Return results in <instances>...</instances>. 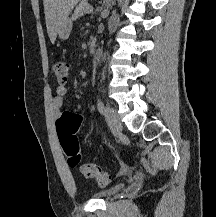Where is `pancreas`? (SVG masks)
I'll return each instance as SVG.
<instances>
[{"label":"pancreas","mask_w":216,"mask_h":217,"mask_svg":"<svg viewBox=\"0 0 216 217\" xmlns=\"http://www.w3.org/2000/svg\"><path fill=\"white\" fill-rule=\"evenodd\" d=\"M88 6H89L88 0H82L79 3V5L76 7V9L74 10V13L72 15V19L76 20L79 17H81L87 11Z\"/></svg>","instance_id":"pancreas-1"}]
</instances>
